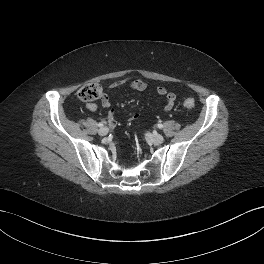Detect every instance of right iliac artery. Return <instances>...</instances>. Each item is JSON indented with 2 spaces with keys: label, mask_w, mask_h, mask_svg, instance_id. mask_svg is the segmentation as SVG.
Listing matches in <instances>:
<instances>
[{
  "label": "right iliac artery",
  "mask_w": 264,
  "mask_h": 264,
  "mask_svg": "<svg viewBox=\"0 0 264 264\" xmlns=\"http://www.w3.org/2000/svg\"><path fill=\"white\" fill-rule=\"evenodd\" d=\"M103 125H104L103 122H100V123L98 124L99 127H102Z\"/></svg>",
  "instance_id": "obj_1"
}]
</instances>
